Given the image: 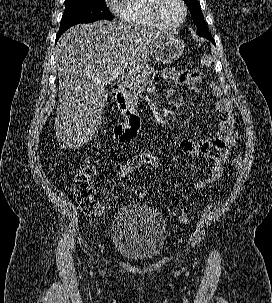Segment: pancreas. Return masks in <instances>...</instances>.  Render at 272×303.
<instances>
[{
	"label": "pancreas",
	"mask_w": 272,
	"mask_h": 303,
	"mask_svg": "<svg viewBox=\"0 0 272 303\" xmlns=\"http://www.w3.org/2000/svg\"><path fill=\"white\" fill-rule=\"evenodd\" d=\"M157 73L158 71L153 67H148L131 79L130 84L127 86L130 89V91L127 92V96L133 105L137 104L138 95L144 91L145 87L149 83L150 77L154 78Z\"/></svg>",
	"instance_id": "pancreas-1"
}]
</instances>
